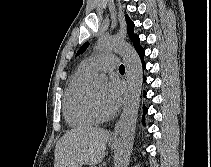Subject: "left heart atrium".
Here are the masks:
<instances>
[{"label": "left heart atrium", "mask_w": 211, "mask_h": 167, "mask_svg": "<svg viewBox=\"0 0 211 167\" xmlns=\"http://www.w3.org/2000/svg\"><path fill=\"white\" fill-rule=\"evenodd\" d=\"M123 88L116 77H111L104 89L103 103L109 114L114 113L121 102Z\"/></svg>", "instance_id": "1"}]
</instances>
